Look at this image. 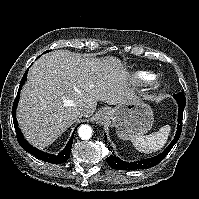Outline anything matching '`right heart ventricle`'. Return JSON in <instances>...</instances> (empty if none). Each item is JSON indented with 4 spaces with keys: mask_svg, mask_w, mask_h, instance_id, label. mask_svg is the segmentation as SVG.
Segmentation results:
<instances>
[{
    "mask_svg": "<svg viewBox=\"0 0 199 199\" xmlns=\"http://www.w3.org/2000/svg\"><path fill=\"white\" fill-rule=\"evenodd\" d=\"M137 76L143 81H152L155 78V75L149 72H140Z\"/></svg>",
    "mask_w": 199,
    "mask_h": 199,
    "instance_id": "obj_1",
    "label": "right heart ventricle"
}]
</instances>
